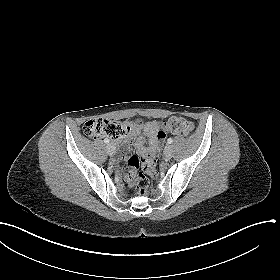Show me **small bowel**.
I'll list each match as a JSON object with an SVG mask.
<instances>
[{
	"label": "small bowel",
	"mask_w": 280,
	"mask_h": 280,
	"mask_svg": "<svg viewBox=\"0 0 280 280\" xmlns=\"http://www.w3.org/2000/svg\"><path fill=\"white\" fill-rule=\"evenodd\" d=\"M165 138L166 133L158 121H127L124 123L122 135L116 138L115 143L122 152H124L128 142L132 141L137 153L156 154Z\"/></svg>",
	"instance_id": "obj_1"
}]
</instances>
